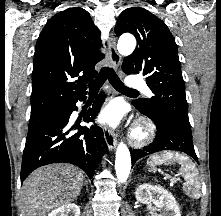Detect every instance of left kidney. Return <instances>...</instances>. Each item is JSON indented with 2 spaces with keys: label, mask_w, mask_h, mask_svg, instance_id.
I'll return each mask as SVG.
<instances>
[{
  "label": "left kidney",
  "mask_w": 221,
  "mask_h": 216,
  "mask_svg": "<svg viewBox=\"0 0 221 216\" xmlns=\"http://www.w3.org/2000/svg\"><path fill=\"white\" fill-rule=\"evenodd\" d=\"M135 197L140 203H153L157 208L163 209V214L158 216H181L175 198L163 187L150 184L139 185L135 191Z\"/></svg>",
  "instance_id": "left-kidney-1"
}]
</instances>
